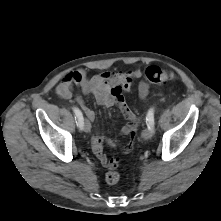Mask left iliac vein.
Segmentation results:
<instances>
[{
  "instance_id": "1",
  "label": "left iliac vein",
  "mask_w": 221,
  "mask_h": 221,
  "mask_svg": "<svg viewBox=\"0 0 221 221\" xmlns=\"http://www.w3.org/2000/svg\"><path fill=\"white\" fill-rule=\"evenodd\" d=\"M153 133H154V129L146 128L142 132V138L145 139V140H148L153 136Z\"/></svg>"
}]
</instances>
